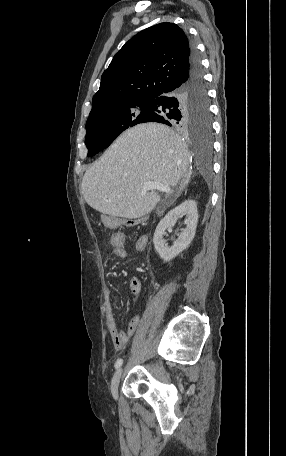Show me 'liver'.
Here are the masks:
<instances>
[{"instance_id": "1", "label": "liver", "mask_w": 286, "mask_h": 456, "mask_svg": "<svg viewBox=\"0 0 286 456\" xmlns=\"http://www.w3.org/2000/svg\"><path fill=\"white\" fill-rule=\"evenodd\" d=\"M190 177L191 154L182 138L166 125L145 123L125 131L85 172L82 194L103 214L140 218L160 199L143 193L145 182L182 189Z\"/></svg>"}]
</instances>
